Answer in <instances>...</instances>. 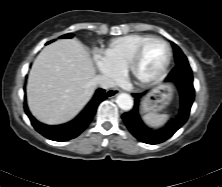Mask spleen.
I'll return each mask as SVG.
<instances>
[{"mask_svg":"<svg viewBox=\"0 0 222 187\" xmlns=\"http://www.w3.org/2000/svg\"><path fill=\"white\" fill-rule=\"evenodd\" d=\"M169 118L166 114L148 113L144 116L145 122L151 127H161Z\"/></svg>","mask_w":222,"mask_h":187,"instance_id":"obj_1","label":"spleen"}]
</instances>
